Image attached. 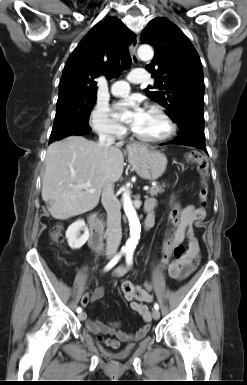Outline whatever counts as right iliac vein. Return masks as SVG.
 <instances>
[{
    "label": "right iliac vein",
    "instance_id": "63e3f726",
    "mask_svg": "<svg viewBox=\"0 0 247 385\" xmlns=\"http://www.w3.org/2000/svg\"><path fill=\"white\" fill-rule=\"evenodd\" d=\"M79 319L80 320H85L86 319V313L85 312H82L78 315Z\"/></svg>",
    "mask_w": 247,
    "mask_h": 385
}]
</instances>
